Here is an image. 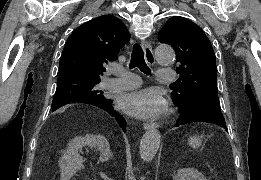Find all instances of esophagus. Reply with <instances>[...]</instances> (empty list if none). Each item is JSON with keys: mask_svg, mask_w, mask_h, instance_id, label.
Instances as JSON below:
<instances>
[{"mask_svg": "<svg viewBox=\"0 0 261 180\" xmlns=\"http://www.w3.org/2000/svg\"><path fill=\"white\" fill-rule=\"evenodd\" d=\"M143 50H144V55H145V60L149 65H153L155 63V57L153 54V50L151 47L150 42L145 41L143 43ZM158 127L157 123H152V122H146L143 125L144 130H151L155 129Z\"/></svg>", "mask_w": 261, "mask_h": 180, "instance_id": "1", "label": "esophagus"}]
</instances>
